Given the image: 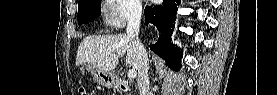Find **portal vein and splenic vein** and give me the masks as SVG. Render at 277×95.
Returning a JSON list of instances; mask_svg holds the SVG:
<instances>
[{"label":"portal vein and splenic vein","mask_w":277,"mask_h":95,"mask_svg":"<svg viewBox=\"0 0 277 95\" xmlns=\"http://www.w3.org/2000/svg\"><path fill=\"white\" fill-rule=\"evenodd\" d=\"M127 75H128V78H135L136 77V71L135 70H129Z\"/></svg>","instance_id":"portal-vein-and-splenic-vein-1"}]
</instances>
